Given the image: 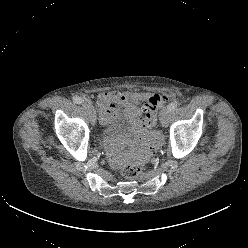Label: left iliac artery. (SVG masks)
<instances>
[{
    "mask_svg": "<svg viewBox=\"0 0 248 248\" xmlns=\"http://www.w3.org/2000/svg\"><path fill=\"white\" fill-rule=\"evenodd\" d=\"M177 106H178V101L174 100L173 102H171V103L169 104L168 107H169V109H170V111H171V110L176 109Z\"/></svg>",
    "mask_w": 248,
    "mask_h": 248,
    "instance_id": "obj_1",
    "label": "left iliac artery"
}]
</instances>
